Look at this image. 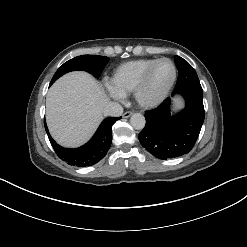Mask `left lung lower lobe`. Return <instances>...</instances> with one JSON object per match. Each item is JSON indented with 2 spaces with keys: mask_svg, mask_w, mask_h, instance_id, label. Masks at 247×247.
Returning a JSON list of instances; mask_svg holds the SVG:
<instances>
[{
  "mask_svg": "<svg viewBox=\"0 0 247 247\" xmlns=\"http://www.w3.org/2000/svg\"><path fill=\"white\" fill-rule=\"evenodd\" d=\"M184 97L186 107L171 115V99L145 113L146 125L138 138L159 159L178 157L191 151L204 121L203 90L200 83L176 86L173 94Z\"/></svg>",
  "mask_w": 247,
  "mask_h": 247,
  "instance_id": "left-lung-lower-lobe-1",
  "label": "left lung lower lobe"
}]
</instances>
